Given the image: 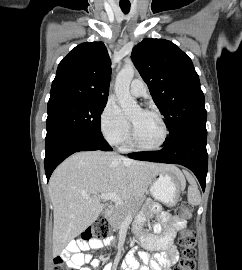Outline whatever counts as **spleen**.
Wrapping results in <instances>:
<instances>
[{
	"mask_svg": "<svg viewBox=\"0 0 242 270\" xmlns=\"http://www.w3.org/2000/svg\"><path fill=\"white\" fill-rule=\"evenodd\" d=\"M188 181L190 183L187 194L188 202L191 205H198L201 202V195L198 190L197 184L192 177H189Z\"/></svg>",
	"mask_w": 242,
	"mask_h": 270,
	"instance_id": "1",
	"label": "spleen"
}]
</instances>
